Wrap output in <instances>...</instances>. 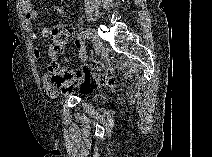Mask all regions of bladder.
<instances>
[{
    "mask_svg": "<svg viewBox=\"0 0 212 157\" xmlns=\"http://www.w3.org/2000/svg\"><path fill=\"white\" fill-rule=\"evenodd\" d=\"M105 96L100 93H93L91 96V100L96 105H101L104 102Z\"/></svg>",
    "mask_w": 212,
    "mask_h": 157,
    "instance_id": "obj_1",
    "label": "bladder"
}]
</instances>
